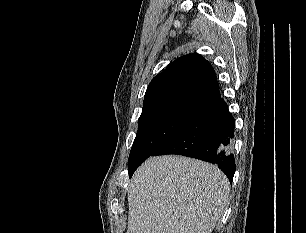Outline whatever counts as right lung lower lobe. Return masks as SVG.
Here are the masks:
<instances>
[{
  "mask_svg": "<svg viewBox=\"0 0 306 233\" xmlns=\"http://www.w3.org/2000/svg\"><path fill=\"white\" fill-rule=\"evenodd\" d=\"M233 131L234 118L220 98L202 109L151 156L179 154L214 163L232 183L235 173V160L231 153Z\"/></svg>",
  "mask_w": 306,
  "mask_h": 233,
  "instance_id": "right-lung-lower-lobe-1",
  "label": "right lung lower lobe"
}]
</instances>
